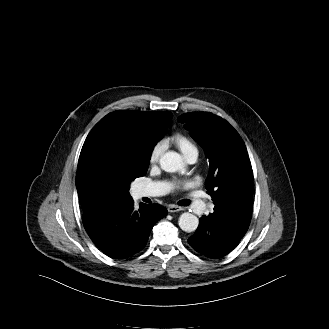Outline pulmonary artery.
Listing matches in <instances>:
<instances>
[{
    "label": "pulmonary artery",
    "instance_id": "pulmonary-artery-1",
    "mask_svg": "<svg viewBox=\"0 0 329 329\" xmlns=\"http://www.w3.org/2000/svg\"><path fill=\"white\" fill-rule=\"evenodd\" d=\"M198 157V152H194L187 157L189 163H194ZM170 190L169 185L162 182H152L142 184L137 187L138 197H157L168 193ZM191 208L194 211L204 210V204L200 200H195L191 204Z\"/></svg>",
    "mask_w": 329,
    "mask_h": 329
}]
</instances>
